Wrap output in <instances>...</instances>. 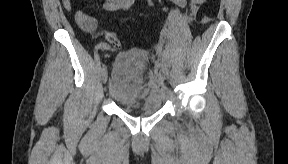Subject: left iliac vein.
I'll use <instances>...</instances> for the list:
<instances>
[{
  "mask_svg": "<svg viewBox=\"0 0 288 164\" xmlns=\"http://www.w3.org/2000/svg\"><path fill=\"white\" fill-rule=\"evenodd\" d=\"M161 70H162V72H163L164 74L167 73L168 67H167V64H166L165 62L162 64Z\"/></svg>",
  "mask_w": 288,
  "mask_h": 164,
  "instance_id": "left-iliac-vein-1",
  "label": "left iliac vein"
}]
</instances>
